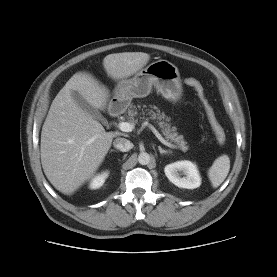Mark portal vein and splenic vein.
Listing matches in <instances>:
<instances>
[{"mask_svg":"<svg viewBox=\"0 0 277 277\" xmlns=\"http://www.w3.org/2000/svg\"><path fill=\"white\" fill-rule=\"evenodd\" d=\"M143 124H144V126H147L154 133V135L158 138V140L162 144H164L170 148H175V146L173 144H171L170 142H168L167 140H165L162 137V135L156 130V128L152 124H150L148 122H144ZM118 127L123 132H131L134 129V124L130 123V122H120Z\"/></svg>","mask_w":277,"mask_h":277,"instance_id":"18ae733b","label":"portal vein and splenic vein"}]
</instances>
